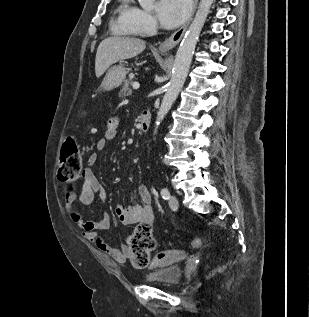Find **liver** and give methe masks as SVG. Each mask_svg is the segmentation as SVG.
<instances>
[{
	"label": "liver",
	"mask_w": 309,
	"mask_h": 317,
	"mask_svg": "<svg viewBox=\"0 0 309 317\" xmlns=\"http://www.w3.org/2000/svg\"><path fill=\"white\" fill-rule=\"evenodd\" d=\"M145 47V41L137 38L114 36L104 39L96 53V77H101L112 64L137 56Z\"/></svg>",
	"instance_id": "6515ba94"
}]
</instances>
